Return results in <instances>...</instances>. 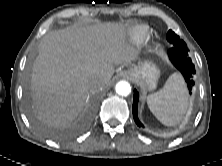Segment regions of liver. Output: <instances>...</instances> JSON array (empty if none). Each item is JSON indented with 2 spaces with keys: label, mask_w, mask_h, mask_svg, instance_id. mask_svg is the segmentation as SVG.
<instances>
[{
  "label": "liver",
  "mask_w": 222,
  "mask_h": 166,
  "mask_svg": "<svg viewBox=\"0 0 222 166\" xmlns=\"http://www.w3.org/2000/svg\"><path fill=\"white\" fill-rule=\"evenodd\" d=\"M127 24L106 22L71 26L46 34L33 64L31 90L39 119L65 127L83 111L90 91L110 83L115 66L135 60L125 42Z\"/></svg>",
  "instance_id": "obj_1"
}]
</instances>
